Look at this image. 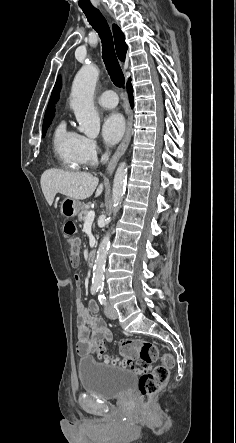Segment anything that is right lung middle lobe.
<instances>
[{"instance_id":"dd1d6c3e","label":"right lung middle lobe","mask_w":236,"mask_h":443,"mask_svg":"<svg viewBox=\"0 0 236 443\" xmlns=\"http://www.w3.org/2000/svg\"><path fill=\"white\" fill-rule=\"evenodd\" d=\"M51 121H52V120H48V121L43 122V137L45 136L46 131H47V128H48L49 125L51 124Z\"/></svg>"}]
</instances>
